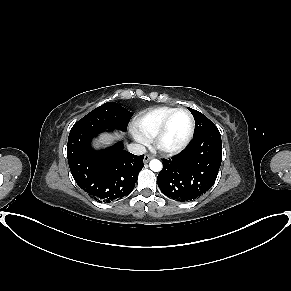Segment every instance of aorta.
Segmentation results:
<instances>
[{
	"label": "aorta",
	"mask_w": 291,
	"mask_h": 291,
	"mask_svg": "<svg viewBox=\"0 0 291 291\" xmlns=\"http://www.w3.org/2000/svg\"><path fill=\"white\" fill-rule=\"evenodd\" d=\"M150 169L154 172H159L162 169V163L158 159H152L149 163Z\"/></svg>",
	"instance_id": "obj_1"
}]
</instances>
